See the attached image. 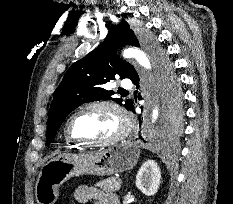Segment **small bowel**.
<instances>
[{"mask_svg": "<svg viewBox=\"0 0 233 204\" xmlns=\"http://www.w3.org/2000/svg\"><path fill=\"white\" fill-rule=\"evenodd\" d=\"M74 197L80 203L119 204L118 197L115 194L89 186L78 187L74 192Z\"/></svg>", "mask_w": 233, "mask_h": 204, "instance_id": "obj_1", "label": "small bowel"}]
</instances>
